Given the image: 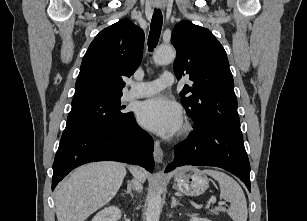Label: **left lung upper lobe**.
<instances>
[{
  "label": "left lung upper lobe",
  "instance_id": "left-lung-upper-lobe-1",
  "mask_svg": "<svg viewBox=\"0 0 307 221\" xmlns=\"http://www.w3.org/2000/svg\"><path fill=\"white\" fill-rule=\"evenodd\" d=\"M171 42L177 52L174 62L177 79L189 75L192 81L180 95L197 129L217 128L243 138L234 81L220 42L208 29L190 21L176 24Z\"/></svg>",
  "mask_w": 307,
  "mask_h": 221
}]
</instances>
